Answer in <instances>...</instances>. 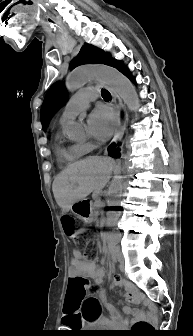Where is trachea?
Wrapping results in <instances>:
<instances>
[{
  "label": "trachea",
  "instance_id": "trachea-1",
  "mask_svg": "<svg viewBox=\"0 0 193 336\" xmlns=\"http://www.w3.org/2000/svg\"><path fill=\"white\" fill-rule=\"evenodd\" d=\"M102 97H103V99L106 100V101H108V100L111 99V95H110V93H109L107 90H103V91H102Z\"/></svg>",
  "mask_w": 193,
  "mask_h": 336
}]
</instances>
